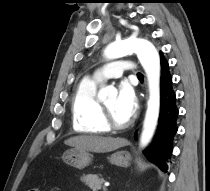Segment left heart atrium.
Segmentation results:
<instances>
[{
	"instance_id": "1",
	"label": "left heart atrium",
	"mask_w": 210,
	"mask_h": 191,
	"mask_svg": "<svg viewBox=\"0 0 210 191\" xmlns=\"http://www.w3.org/2000/svg\"><path fill=\"white\" fill-rule=\"evenodd\" d=\"M138 101L134 89L128 82H122L117 96V109L128 120L135 114Z\"/></svg>"
}]
</instances>
